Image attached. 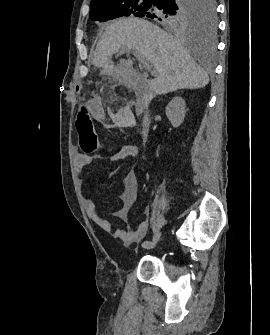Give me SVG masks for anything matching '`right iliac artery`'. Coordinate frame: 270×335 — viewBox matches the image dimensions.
I'll use <instances>...</instances> for the list:
<instances>
[{"label": "right iliac artery", "mask_w": 270, "mask_h": 335, "mask_svg": "<svg viewBox=\"0 0 270 335\" xmlns=\"http://www.w3.org/2000/svg\"><path fill=\"white\" fill-rule=\"evenodd\" d=\"M142 247L146 248V249H150V248H152V243L150 241H144L142 243Z\"/></svg>", "instance_id": "right-iliac-artery-1"}]
</instances>
